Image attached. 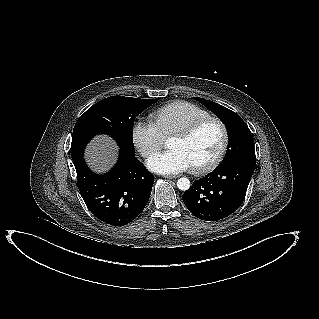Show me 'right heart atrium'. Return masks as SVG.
Returning a JSON list of instances; mask_svg holds the SVG:
<instances>
[{
    "instance_id": "1",
    "label": "right heart atrium",
    "mask_w": 319,
    "mask_h": 319,
    "mask_svg": "<svg viewBox=\"0 0 319 319\" xmlns=\"http://www.w3.org/2000/svg\"><path fill=\"white\" fill-rule=\"evenodd\" d=\"M131 139L137 151L144 158H149L163 145L164 138L150 122L137 121L131 130Z\"/></svg>"
}]
</instances>
